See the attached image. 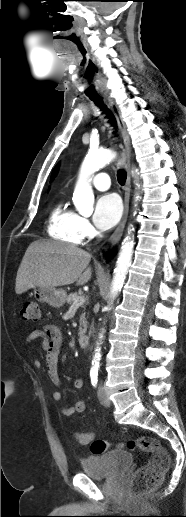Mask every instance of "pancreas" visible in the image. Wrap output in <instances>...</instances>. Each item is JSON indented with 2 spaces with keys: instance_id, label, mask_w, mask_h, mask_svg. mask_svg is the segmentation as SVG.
Segmentation results:
<instances>
[{
  "instance_id": "cf45deb5",
  "label": "pancreas",
  "mask_w": 186,
  "mask_h": 517,
  "mask_svg": "<svg viewBox=\"0 0 186 517\" xmlns=\"http://www.w3.org/2000/svg\"><path fill=\"white\" fill-rule=\"evenodd\" d=\"M78 297H80V295H79V294H77V293H71V294H69V295L67 296L66 301H67V303H68L69 305H71V304H73L74 299H76V298H78ZM86 330H87V321H86V319H85V315H84V314H82V315L80 316V328H79V333L82 335V334H84V333L86 332Z\"/></svg>"
}]
</instances>
